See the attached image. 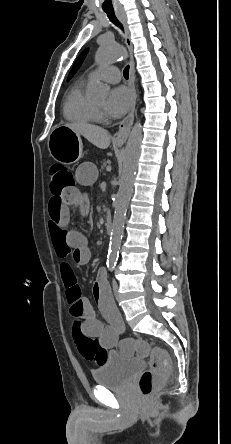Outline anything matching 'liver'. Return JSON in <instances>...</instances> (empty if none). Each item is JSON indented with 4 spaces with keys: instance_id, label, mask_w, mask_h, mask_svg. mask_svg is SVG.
I'll return each mask as SVG.
<instances>
[{
    "instance_id": "liver-1",
    "label": "liver",
    "mask_w": 231,
    "mask_h": 444,
    "mask_svg": "<svg viewBox=\"0 0 231 444\" xmlns=\"http://www.w3.org/2000/svg\"><path fill=\"white\" fill-rule=\"evenodd\" d=\"M76 134L84 136L89 142L100 149H107L110 145L111 136L105 129L87 123L66 124Z\"/></svg>"
}]
</instances>
